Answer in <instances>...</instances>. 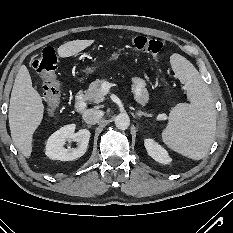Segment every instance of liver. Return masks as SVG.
Segmentation results:
<instances>
[{"instance_id":"1","label":"liver","mask_w":233,"mask_h":233,"mask_svg":"<svg viewBox=\"0 0 233 233\" xmlns=\"http://www.w3.org/2000/svg\"><path fill=\"white\" fill-rule=\"evenodd\" d=\"M94 43V40H74L61 45L58 55L62 58L78 54ZM35 54L31 59L36 58ZM44 114L42 97L33 88L31 76L25 65L20 66L10 97L9 127L16 148L26 157L32 153L33 134L41 124Z\"/></svg>"}]
</instances>
